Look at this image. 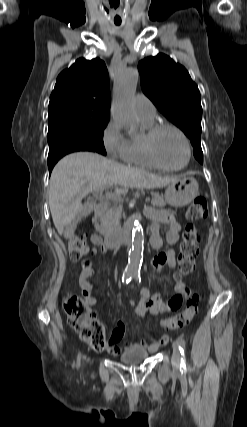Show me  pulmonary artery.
Wrapping results in <instances>:
<instances>
[{"label": "pulmonary artery", "mask_w": 247, "mask_h": 427, "mask_svg": "<svg viewBox=\"0 0 247 427\" xmlns=\"http://www.w3.org/2000/svg\"><path fill=\"white\" fill-rule=\"evenodd\" d=\"M134 109L140 119H154L156 108L151 100L143 93L134 97Z\"/></svg>", "instance_id": "1"}]
</instances>
